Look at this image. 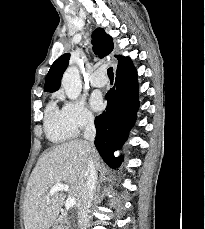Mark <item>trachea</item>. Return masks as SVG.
Here are the masks:
<instances>
[{
	"label": "trachea",
	"mask_w": 205,
	"mask_h": 229,
	"mask_svg": "<svg viewBox=\"0 0 205 229\" xmlns=\"http://www.w3.org/2000/svg\"><path fill=\"white\" fill-rule=\"evenodd\" d=\"M107 74H108L109 78H113V68L112 67L108 68Z\"/></svg>",
	"instance_id": "obj_1"
}]
</instances>
